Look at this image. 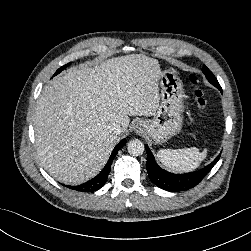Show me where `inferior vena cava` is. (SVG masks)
<instances>
[{
  "instance_id": "obj_1",
  "label": "inferior vena cava",
  "mask_w": 251,
  "mask_h": 251,
  "mask_svg": "<svg viewBox=\"0 0 251 251\" xmlns=\"http://www.w3.org/2000/svg\"><path fill=\"white\" fill-rule=\"evenodd\" d=\"M110 131L115 135H120L123 132L122 127L117 123L112 124Z\"/></svg>"
}]
</instances>
